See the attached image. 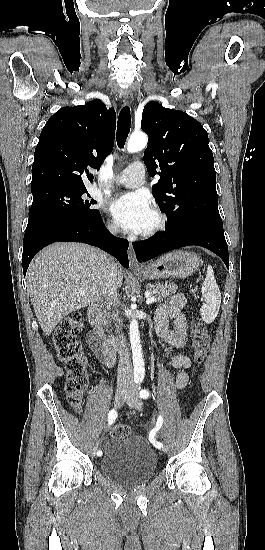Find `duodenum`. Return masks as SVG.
<instances>
[{
	"mask_svg": "<svg viewBox=\"0 0 265 550\" xmlns=\"http://www.w3.org/2000/svg\"><path fill=\"white\" fill-rule=\"evenodd\" d=\"M101 307L102 302L96 301L92 303L87 310L88 323L95 335V345L104 350H121L123 349L122 339L120 337H108L102 329L100 322Z\"/></svg>",
	"mask_w": 265,
	"mask_h": 550,
	"instance_id": "1",
	"label": "duodenum"
}]
</instances>
